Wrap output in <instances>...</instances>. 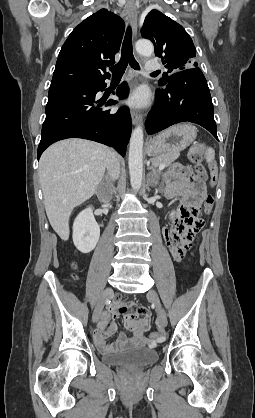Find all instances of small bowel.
Returning a JSON list of instances; mask_svg holds the SVG:
<instances>
[{
  "mask_svg": "<svg viewBox=\"0 0 255 418\" xmlns=\"http://www.w3.org/2000/svg\"><path fill=\"white\" fill-rule=\"evenodd\" d=\"M206 195L204 182L184 166H175L167 176L166 196L179 197L181 204L172 214L173 225L163 229V236L168 245L167 254L173 256V262L178 264L186 260L188 249H193L194 239L198 236L197 228H173L184 219L192 208L198 209ZM133 302H123L117 299L101 316L98 328L93 333L96 346L103 352H113L142 343L144 332L149 328L151 313L144 307L131 310ZM121 315L127 330L133 336L127 338L123 333L118 335L116 342L108 343L107 339L116 331L114 320Z\"/></svg>",
  "mask_w": 255,
  "mask_h": 418,
  "instance_id": "c3829d8e",
  "label": "small bowel"
}]
</instances>
